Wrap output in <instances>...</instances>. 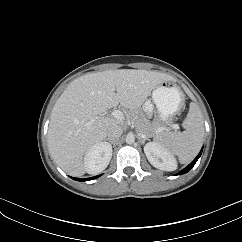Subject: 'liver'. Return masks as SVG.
<instances>
[{
  "mask_svg": "<svg viewBox=\"0 0 242 242\" xmlns=\"http://www.w3.org/2000/svg\"><path fill=\"white\" fill-rule=\"evenodd\" d=\"M173 77L157 71L119 69L90 73L75 79L56 101L48 129V147L54 161L68 174L81 176L84 156L106 139L111 125L124 120L102 113L119 104L131 119L141 111L151 91ZM91 122V123H90Z\"/></svg>",
  "mask_w": 242,
  "mask_h": 242,
  "instance_id": "6515ba94",
  "label": "liver"
}]
</instances>
